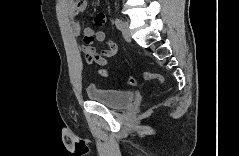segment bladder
I'll use <instances>...</instances> for the list:
<instances>
[{
	"label": "bladder",
	"instance_id": "1",
	"mask_svg": "<svg viewBox=\"0 0 239 156\" xmlns=\"http://www.w3.org/2000/svg\"><path fill=\"white\" fill-rule=\"evenodd\" d=\"M89 100L101 103L112 110H123L129 107L135 98L134 91H122L110 88L92 87L86 89Z\"/></svg>",
	"mask_w": 239,
	"mask_h": 156
}]
</instances>
